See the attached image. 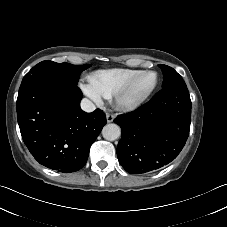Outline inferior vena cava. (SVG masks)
<instances>
[{"instance_id": "inferior-vena-cava-1", "label": "inferior vena cava", "mask_w": 227, "mask_h": 227, "mask_svg": "<svg viewBox=\"0 0 227 227\" xmlns=\"http://www.w3.org/2000/svg\"><path fill=\"white\" fill-rule=\"evenodd\" d=\"M81 108L85 112H93L96 109L95 104L87 98L82 99Z\"/></svg>"}]
</instances>
